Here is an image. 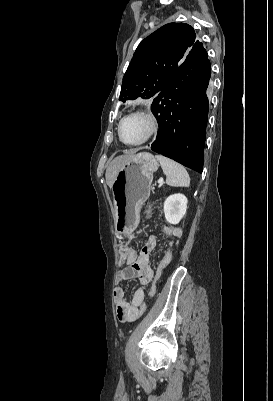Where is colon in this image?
I'll return each instance as SVG.
<instances>
[{
    "instance_id": "1",
    "label": "colon",
    "mask_w": 273,
    "mask_h": 401,
    "mask_svg": "<svg viewBox=\"0 0 273 401\" xmlns=\"http://www.w3.org/2000/svg\"><path fill=\"white\" fill-rule=\"evenodd\" d=\"M150 279H151V276H150L149 273H141V274L139 275V280H140L141 282H149Z\"/></svg>"
}]
</instances>
